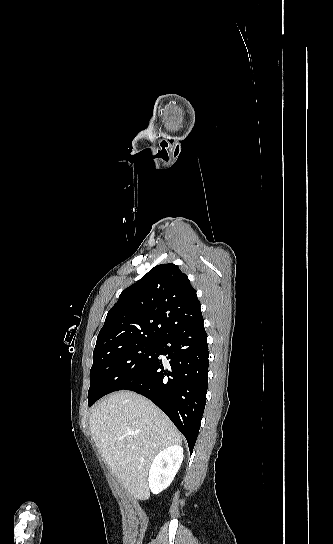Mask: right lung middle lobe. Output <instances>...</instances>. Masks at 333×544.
Instances as JSON below:
<instances>
[{"label": "right lung middle lobe", "instance_id": "1", "mask_svg": "<svg viewBox=\"0 0 333 544\" xmlns=\"http://www.w3.org/2000/svg\"><path fill=\"white\" fill-rule=\"evenodd\" d=\"M158 342V340L140 339L93 355L88 391L89 406L106 394L121 390L138 378L154 359Z\"/></svg>", "mask_w": 333, "mask_h": 544}]
</instances>
